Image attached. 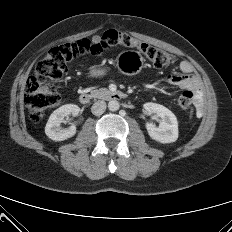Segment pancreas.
I'll list each match as a JSON object with an SVG mask.
<instances>
[{
    "mask_svg": "<svg viewBox=\"0 0 232 232\" xmlns=\"http://www.w3.org/2000/svg\"><path fill=\"white\" fill-rule=\"evenodd\" d=\"M110 91L106 88H100L96 90H92L91 94L95 98H103L105 95H108Z\"/></svg>",
    "mask_w": 232,
    "mask_h": 232,
    "instance_id": "cf45deb5",
    "label": "pancreas"
}]
</instances>
